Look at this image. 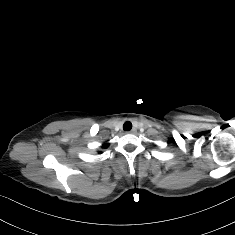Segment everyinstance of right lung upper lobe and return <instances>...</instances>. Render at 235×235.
I'll list each match as a JSON object with an SVG mask.
<instances>
[{"instance_id": "1", "label": "right lung upper lobe", "mask_w": 235, "mask_h": 235, "mask_svg": "<svg viewBox=\"0 0 235 235\" xmlns=\"http://www.w3.org/2000/svg\"><path fill=\"white\" fill-rule=\"evenodd\" d=\"M106 147H108V144H107V143H105V144L103 145V148H106Z\"/></svg>"}]
</instances>
